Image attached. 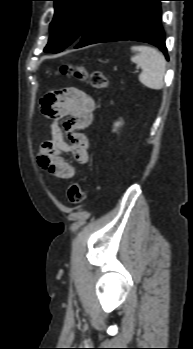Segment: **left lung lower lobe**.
I'll use <instances>...</instances> for the list:
<instances>
[{
    "label": "left lung lower lobe",
    "mask_w": 193,
    "mask_h": 349,
    "mask_svg": "<svg viewBox=\"0 0 193 349\" xmlns=\"http://www.w3.org/2000/svg\"><path fill=\"white\" fill-rule=\"evenodd\" d=\"M160 1L108 0L75 48L100 42L136 40L156 45L168 59Z\"/></svg>",
    "instance_id": "obj_1"
}]
</instances>
